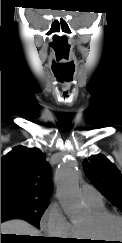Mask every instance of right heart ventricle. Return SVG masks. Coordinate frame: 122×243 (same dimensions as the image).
Returning <instances> with one entry per match:
<instances>
[{"mask_svg":"<svg viewBox=\"0 0 122 243\" xmlns=\"http://www.w3.org/2000/svg\"><path fill=\"white\" fill-rule=\"evenodd\" d=\"M88 207L90 208L92 214H98V213H102L105 212V206L102 203L100 204H94V205H89L87 204ZM76 239H85L82 230H81V226L78 225H74V235H73Z\"/></svg>","mask_w":122,"mask_h":243,"instance_id":"right-heart-ventricle-1","label":"right heart ventricle"}]
</instances>
